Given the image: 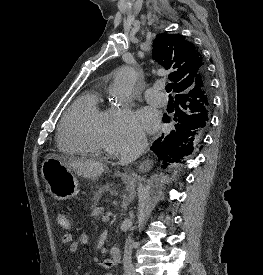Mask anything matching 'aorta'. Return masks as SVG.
<instances>
[{"mask_svg":"<svg viewBox=\"0 0 263 275\" xmlns=\"http://www.w3.org/2000/svg\"><path fill=\"white\" fill-rule=\"evenodd\" d=\"M138 79L137 71L131 66H123L116 72L110 87V97L113 102L120 103L128 99Z\"/></svg>","mask_w":263,"mask_h":275,"instance_id":"obj_1","label":"aorta"}]
</instances>
